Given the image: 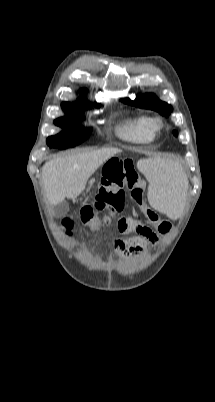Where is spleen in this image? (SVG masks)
I'll return each mask as SVG.
<instances>
[{
  "label": "spleen",
  "instance_id": "1",
  "mask_svg": "<svg viewBox=\"0 0 215 402\" xmlns=\"http://www.w3.org/2000/svg\"><path fill=\"white\" fill-rule=\"evenodd\" d=\"M138 169L150 183L152 210H159L170 218H181L186 212L182 202L186 187V177L178 165L157 159L140 160Z\"/></svg>",
  "mask_w": 215,
  "mask_h": 402
}]
</instances>
